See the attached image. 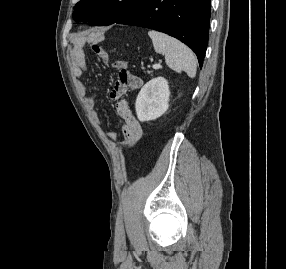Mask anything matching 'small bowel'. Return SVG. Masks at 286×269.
<instances>
[{
	"instance_id": "c3829d8e",
	"label": "small bowel",
	"mask_w": 286,
	"mask_h": 269,
	"mask_svg": "<svg viewBox=\"0 0 286 269\" xmlns=\"http://www.w3.org/2000/svg\"><path fill=\"white\" fill-rule=\"evenodd\" d=\"M102 48V47H101ZM94 54H96L102 61L108 62L110 60L109 54L102 49L101 52H97L92 48ZM70 58L73 65V73L76 77L83 76L88 71V66L85 59V53L83 43L79 40L73 41V48L70 53ZM117 62L113 64L115 67ZM136 77V76H135ZM138 78V77H136ZM118 82V81H117ZM142 84V83H141ZM116 85V84H115ZM136 89V88H135ZM85 91H89L86 98V105L91 112L92 118L95 123H99V116L95 105L97 90L95 87H84ZM124 92L119 91V88L114 86L110 92V96L114 99L120 97ZM116 111L121 121V129L119 132H110L109 137L111 140L116 141L119 135L124 137V141L120 144L122 148L133 147L143 136V128L140 122L133 114L132 108L127 101H118L116 103Z\"/></svg>"
}]
</instances>
